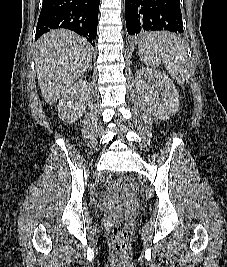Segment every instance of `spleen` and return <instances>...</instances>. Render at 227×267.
I'll list each match as a JSON object with an SVG mask.
<instances>
[{"instance_id": "3e777b00", "label": "spleen", "mask_w": 227, "mask_h": 267, "mask_svg": "<svg viewBox=\"0 0 227 267\" xmlns=\"http://www.w3.org/2000/svg\"><path fill=\"white\" fill-rule=\"evenodd\" d=\"M137 55H141L144 67H155L162 62L178 84L185 81L187 73L186 46L184 41L173 33L150 34L140 43Z\"/></svg>"}]
</instances>
